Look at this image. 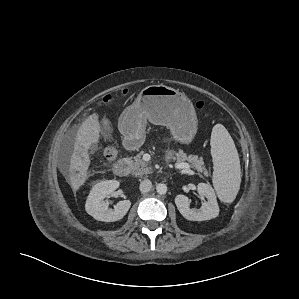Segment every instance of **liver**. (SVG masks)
I'll return each instance as SVG.
<instances>
[{
	"label": "liver",
	"mask_w": 299,
	"mask_h": 299,
	"mask_svg": "<svg viewBox=\"0 0 299 299\" xmlns=\"http://www.w3.org/2000/svg\"><path fill=\"white\" fill-rule=\"evenodd\" d=\"M100 138L98 115L89 116L80 126L70 158L69 184L76 192L86 181L90 165V154L96 149ZM91 150V152H89Z\"/></svg>",
	"instance_id": "liver-1"
}]
</instances>
